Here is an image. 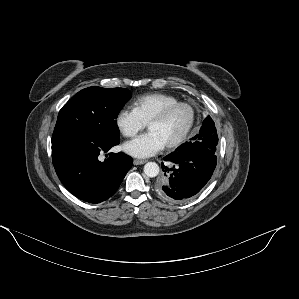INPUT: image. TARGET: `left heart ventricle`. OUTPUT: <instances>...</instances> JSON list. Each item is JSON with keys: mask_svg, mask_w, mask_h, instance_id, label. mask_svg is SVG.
<instances>
[{"mask_svg": "<svg viewBox=\"0 0 299 299\" xmlns=\"http://www.w3.org/2000/svg\"><path fill=\"white\" fill-rule=\"evenodd\" d=\"M190 118V110L186 107H181L172 112L164 121L151 124L148 130L156 133L166 145L175 140L184 131L189 124Z\"/></svg>", "mask_w": 299, "mask_h": 299, "instance_id": "obj_1", "label": "left heart ventricle"}]
</instances>
